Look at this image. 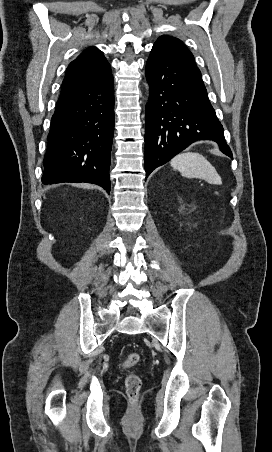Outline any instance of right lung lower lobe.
Returning <instances> with one entry per match:
<instances>
[{"instance_id":"obj_1","label":"right lung lower lobe","mask_w":272,"mask_h":452,"mask_svg":"<svg viewBox=\"0 0 272 452\" xmlns=\"http://www.w3.org/2000/svg\"><path fill=\"white\" fill-rule=\"evenodd\" d=\"M114 133V84L103 83L60 96L48 135L43 184L88 182L110 193Z\"/></svg>"}]
</instances>
